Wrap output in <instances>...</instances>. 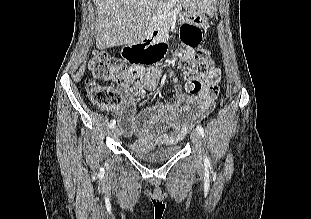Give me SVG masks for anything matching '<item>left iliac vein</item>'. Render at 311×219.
I'll return each instance as SVG.
<instances>
[{"label": "left iliac vein", "mask_w": 311, "mask_h": 219, "mask_svg": "<svg viewBox=\"0 0 311 219\" xmlns=\"http://www.w3.org/2000/svg\"><path fill=\"white\" fill-rule=\"evenodd\" d=\"M191 141L197 151L199 162L202 160L201 137L197 130L191 132Z\"/></svg>", "instance_id": "left-iliac-vein-1"}]
</instances>
